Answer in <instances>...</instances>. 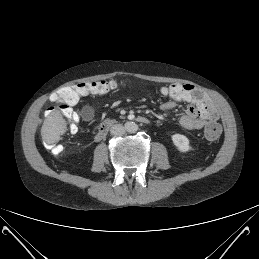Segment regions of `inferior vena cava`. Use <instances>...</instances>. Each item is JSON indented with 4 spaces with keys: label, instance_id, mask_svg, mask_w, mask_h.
<instances>
[{
    "label": "inferior vena cava",
    "instance_id": "obj_1",
    "mask_svg": "<svg viewBox=\"0 0 259 259\" xmlns=\"http://www.w3.org/2000/svg\"><path fill=\"white\" fill-rule=\"evenodd\" d=\"M126 132L124 126L121 124H115L110 128V133L115 136H121L124 135Z\"/></svg>",
    "mask_w": 259,
    "mask_h": 259
}]
</instances>
